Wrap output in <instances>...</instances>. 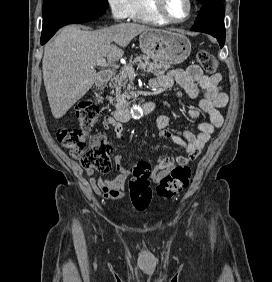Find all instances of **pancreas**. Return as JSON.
Segmentation results:
<instances>
[{"mask_svg":"<svg viewBox=\"0 0 272 282\" xmlns=\"http://www.w3.org/2000/svg\"><path fill=\"white\" fill-rule=\"evenodd\" d=\"M134 65H137L139 69L152 73L155 76L163 75L169 68V66L157 62H151L145 55H136L133 61L132 59L130 60L127 67H133ZM113 80L114 83L111 85V87L115 90V96L109 97V101L115 106L124 105L127 103V99L131 97V90L133 89L132 85L128 84L127 70L122 69L118 74L114 76Z\"/></svg>","mask_w":272,"mask_h":282,"instance_id":"cf45deb5","label":"pancreas"}]
</instances>
